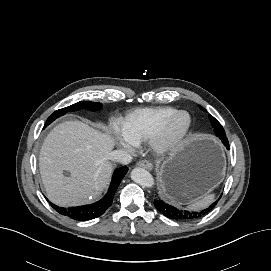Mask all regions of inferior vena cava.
Masks as SVG:
<instances>
[{
  "instance_id": "inferior-vena-cava-1",
  "label": "inferior vena cava",
  "mask_w": 271,
  "mask_h": 271,
  "mask_svg": "<svg viewBox=\"0 0 271 271\" xmlns=\"http://www.w3.org/2000/svg\"><path fill=\"white\" fill-rule=\"evenodd\" d=\"M110 159L126 165L132 161V156L125 150H114L110 153Z\"/></svg>"
}]
</instances>
